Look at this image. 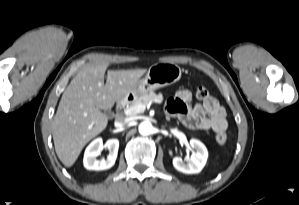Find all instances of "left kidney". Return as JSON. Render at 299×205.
Segmentation results:
<instances>
[{"instance_id":"obj_1","label":"left kidney","mask_w":299,"mask_h":205,"mask_svg":"<svg viewBox=\"0 0 299 205\" xmlns=\"http://www.w3.org/2000/svg\"><path fill=\"white\" fill-rule=\"evenodd\" d=\"M190 146L195 150L190 159L184 162L180 157H174L173 166L176 170L182 173L196 174L199 173L205 166L208 158V151L205 145L197 139H191ZM170 154H172V152H170Z\"/></svg>"}]
</instances>
